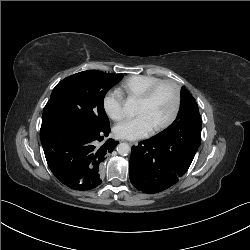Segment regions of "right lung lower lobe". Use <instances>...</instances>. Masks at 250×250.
<instances>
[{
	"mask_svg": "<svg viewBox=\"0 0 250 250\" xmlns=\"http://www.w3.org/2000/svg\"><path fill=\"white\" fill-rule=\"evenodd\" d=\"M110 127L90 129L75 125L56 124L40 131V139L47 163L64 185L75 190H91L101 184L100 169L105 155L112 152L117 142L108 139Z\"/></svg>",
	"mask_w": 250,
	"mask_h": 250,
	"instance_id": "1",
	"label": "right lung lower lobe"
}]
</instances>
